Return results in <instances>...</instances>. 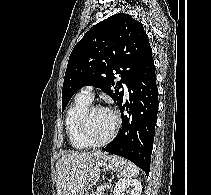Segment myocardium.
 <instances>
[{
    "label": "myocardium",
    "instance_id": "obj_1",
    "mask_svg": "<svg viewBox=\"0 0 211 195\" xmlns=\"http://www.w3.org/2000/svg\"><path fill=\"white\" fill-rule=\"evenodd\" d=\"M97 110H107V111L111 112L112 115L114 116V120H115L114 127H113L112 131L110 132V134L105 139H103L99 142H95V141L91 140L87 133L88 120H89L91 114ZM120 126H121V118L115 110H113L109 107L103 106V105H89L84 110V112L82 113V115L80 117L79 133H80V136L83 139V141L85 143H87L90 147H101V146L109 143L115 137L118 130L120 129Z\"/></svg>",
    "mask_w": 211,
    "mask_h": 195
}]
</instances>
